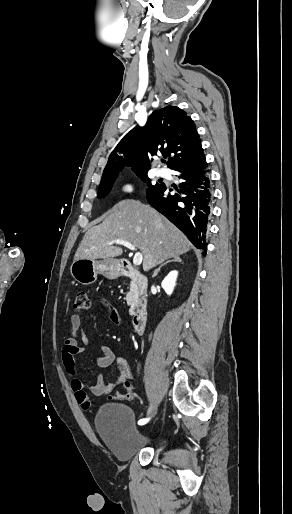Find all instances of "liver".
I'll return each instance as SVG.
<instances>
[{
  "label": "liver",
  "mask_w": 292,
  "mask_h": 514,
  "mask_svg": "<svg viewBox=\"0 0 292 514\" xmlns=\"http://www.w3.org/2000/svg\"><path fill=\"white\" fill-rule=\"evenodd\" d=\"M114 240H125L139 248L144 272L169 258L186 254L191 248L186 236L156 210L137 200H122L109 210L102 224L86 232L74 260L121 256L122 248L109 244Z\"/></svg>",
  "instance_id": "6515ba94"
}]
</instances>
